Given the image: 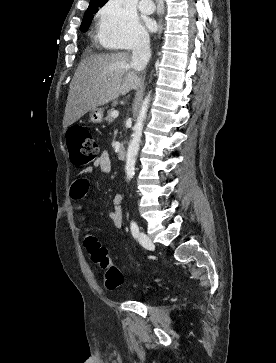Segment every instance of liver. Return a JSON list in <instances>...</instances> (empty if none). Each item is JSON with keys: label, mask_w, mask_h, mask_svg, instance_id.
Listing matches in <instances>:
<instances>
[{"label": "liver", "mask_w": 276, "mask_h": 363, "mask_svg": "<svg viewBox=\"0 0 276 363\" xmlns=\"http://www.w3.org/2000/svg\"><path fill=\"white\" fill-rule=\"evenodd\" d=\"M140 83L129 53L98 54L83 59L70 84L63 127L88 111L137 90Z\"/></svg>", "instance_id": "obj_1"}]
</instances>
